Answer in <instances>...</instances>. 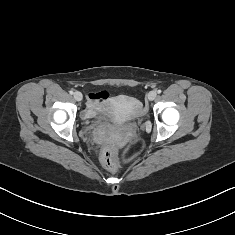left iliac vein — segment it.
<instances>
[{"label":"left iliac vein","instance_id":"obj_1","mask_svg":"<svg viewBox=\"0 0 235 235\" xmlns=\"http://www.w3.org/2000/svg\"><path fill=\"white\" fill-rule=\"evenodd\" d=\"M156 96H157V93H156V91H150L149 93H148V99L150 100V101H152V100H154L155 98H156Z\"/></svg>","mask_w":235,"mask_h":235}]
</instances>
